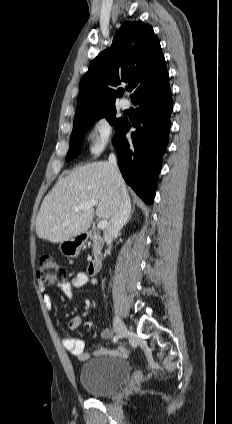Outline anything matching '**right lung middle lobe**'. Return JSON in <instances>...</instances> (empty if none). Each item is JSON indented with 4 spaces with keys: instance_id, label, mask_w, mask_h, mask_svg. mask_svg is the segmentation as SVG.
<instances>
[{
    "instance_id": "right-lung-middle-lobe-1",
    "label": "right lung middle lobe",
    "mask_w": 232,
    "mask_h": 424,
    "mask_svg": "<svg viewBox=\"0 0 232 424\" xmlns=\"http://www.w3.org/2000/svg\"><path fill=\"white\" fill-rule=\"evenodd\" d=\"M104 117L109 121L111 125H114L116 130H118L125 121L124 118L116 119L115 106L103 108L75 119L73 122V130L70 137V148L66 156L67 161L75 158L80 153L81 141L84 132L90 127V125L93 124L94 121Z\"/></svg>"
}]
</instances>
